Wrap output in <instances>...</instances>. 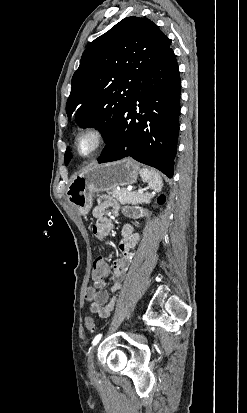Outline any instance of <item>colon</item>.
Masks as SVG:
<instances>
[{
    "mask_svg": "<svg viewBox=\"0 0 247 413\" xmlns=\"http://www.w3.org/2000/svg\"><path fill=\"white\" fill-rule=\"evenodd\" d=\"M164 201V198H160V203H164ZM92 275L107 277L109 275L108 263L100 259H93ZM84 326L86 330L93 331L95 329V319L90 316H86L84 319Z\"/></svg>",
    "mask_w": 247,
    "mask_h": 413,
    "instance_id": "5ec220e1",
    "label": "colon"
}]
</instances>
